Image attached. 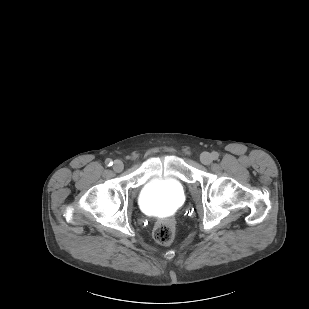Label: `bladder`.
Returning a JSON list of instances; mask_svg holds the SVG:
<instances>
[{"label":"bladder","mask_w":309,"mask_h":309,"mask_svg":"<svg viewBox=\"0 0 309 309\" xmlns=\"http://www.w3.org/2000/svg\"><path fill=\"white\" fill-rule=\"evenodd\" d=\"M186 192L181 181L175 178L147 181L138 195V204L152 215L173 212L185 202Z\"/></svg>","instance_id":"obj_1"}]
</instances>
